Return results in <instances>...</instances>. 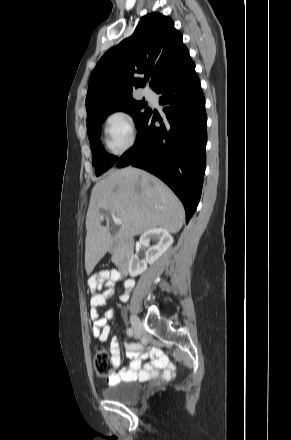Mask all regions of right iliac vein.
Returning a JSON list of instances; mask_svg holds the SVG:
<instances>
[{
	"instance_id": "right-iliac-vein-1",
	"label": "right iliac vein",
	"mask_w": 291,
	"mask_h": 440,
	"mask_svg": "<svg viewBox=\"0 0 291 440\" xmlns=\"http://www.w3.org/2000/svg\"><path fill=\"white\" fill-rule=\"evenodd\" d=\"M130 321H131V324L134 329V333H135L136 337L141 338V336H142V323H141V321L135 315L131 316Z\"/></svg>"
}]
</instances>
